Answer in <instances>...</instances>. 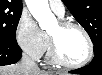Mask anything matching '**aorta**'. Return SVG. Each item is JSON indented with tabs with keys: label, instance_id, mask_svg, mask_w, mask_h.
Masks as SVG:
<instances>
[{
	"label": "aorta",
	"instance_id": "aorta-1",
	"mask_svg": "<svg viewBox=\"0 0 102 75\" xmlns=\"http://www.w3.org/2000/svg\"><path fill=\"white\" fill-rule=\"evenodd\" d=\"M26 4L42 30H47L56 23V18L49 8L48 0H26Z\"/></svg>",
	"mask_w": 102,
	"mask_h": 75
}]
</instances>
